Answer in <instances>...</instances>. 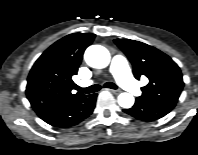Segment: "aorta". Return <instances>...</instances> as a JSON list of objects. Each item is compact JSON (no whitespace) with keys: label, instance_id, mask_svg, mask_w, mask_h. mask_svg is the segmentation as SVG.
I'll return each mask as SVG.
<instances>
[{"label":"aorta","instance_id":"obj_1","mask_svg":"<svg viewBox=\"0 0 198 155\" xmlns=\"http://www.w3.org/2000/svg\"><path fill=\"white\" fill-rule=\"evenodd\" d=\"M110 53L109 51L101 45H91L89 46L84 54V59L86 63L93 68H105L110 63ZM134 97L130 93L123 92L118 96V104L122 108H131L134 104Z\"/></svg>","mask_w":198,"mask_h":155}]
</instances>
